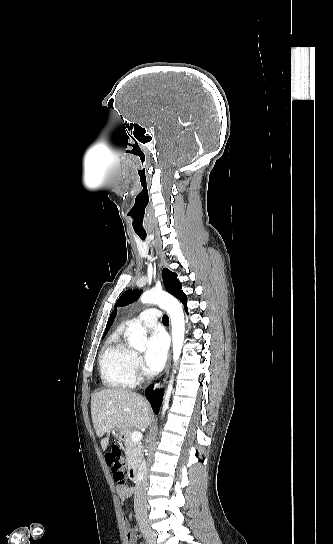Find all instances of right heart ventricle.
Segmentation results:
<instances>
[{"label": "right heart ventricle", "instance_id": "e07e8e85", "mask_svg": "<svg viewBox=\"0 0 333 544\" xmlns=\"http://www.w3.org/2000/svg\"><path fill=\"white\" fill-rule=\"evenodd\" d=\"M132 351L121 340V331L112 333L104 343L99 367L103 382L114 388H130L135 380L130 370Z\"/></svg>", "mask_w": 333, "mask_h": 544}]
</instances>
